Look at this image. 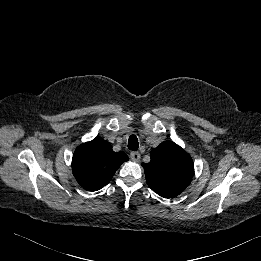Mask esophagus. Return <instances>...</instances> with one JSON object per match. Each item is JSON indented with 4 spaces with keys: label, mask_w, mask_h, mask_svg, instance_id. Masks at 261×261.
Wrapping results in <instances>:
<instances>
[{
    "label": "esophagus",
    "mask_w": 261,
    "mask_h": 261,
    "mask_svg": "<svg viewBox=\"0 0 261 261\" xmlns=\"http://www.w3.org/2000/svg\"><path fill=\"white\" fill-rule=\"evenodd\" d=\"M130 158L131 160L138 162L140 160V154L138 152L133 151L130 153Z\"/></svg>",
    "instance_id": "esophagus-1"
}]
</instances>
